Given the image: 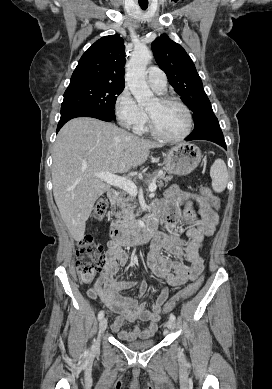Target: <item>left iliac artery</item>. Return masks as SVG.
I'll list each match as a JSON object with an SVG mask.
<instances>
[{
	"label": "left iliac artery",
	"instance_id": "1",
	"mask_svg": "<svg viewBox=\"0 0 272 389\" xmlns=\"http://www.w3.org/2000/svg\"><path fill=\"white\" fill-rule=\"evenodd\" d=\"M169 318H170V320H172V321H175V319H176V317H175L174 314H171Z\"/></svg>",
	"mask_w": 272,
	"mask_h": 389
}]
</instances>
